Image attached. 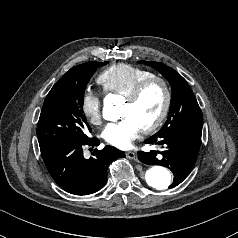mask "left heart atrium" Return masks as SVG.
<instances>
[{
    "label": "left heart atrium",
    "mask_w": 238,
    "mask_h": 238,
    "mask_svg": "<svg viewBox=\"0 0 238 238\" xmlns=\"http://www.w3.org/2000/svg\"><path fill=\"white\" fill-rule=\"evenodd\" d=\"M141 127L132 117H124L121 120L108 124L103 130V138L113 146L127 149L137 138Z\"/></svg>",
    "instance_id": "1"
}]
</instances>
